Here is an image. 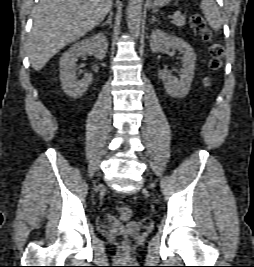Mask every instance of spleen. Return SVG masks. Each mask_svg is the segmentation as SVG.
Here are the masks:
<instances>
[{
    "mask_svg": "<svg viewBox=\"0 0 254 267\" xmlns=\"http://www.w3.org/2000/svg\"><path fill=\"white\" fill-rule=\"evenodd\" d=\"M200 8L208 22L215 30H219L222 26V18L219 9L214 0H201Z\"/></svg>",
    "mask_w": 254,
    "mask_h": 267,
    "instance_id": "spleen-1",
    "label": "spleen"
}]
</instances>
